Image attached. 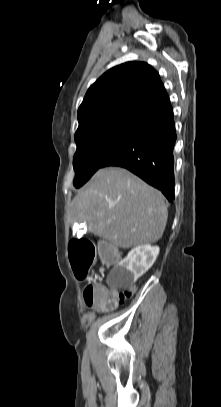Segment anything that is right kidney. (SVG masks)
Wrapping results in <instances>:
<instances>
[{"label": "right kidney", "instance_id": "1", "mask_svg": "<svg viewBox=\"0 0 221 407\" xmlns=\"http://www.w3.org/2000/svg\"><path fill=\"white\" fill-rule=\"evenodd\" d=\"M158 254V246L144 244L133 248L128 255L119 262L116 268L121 283L124 286L133 285L138 278L151 268Z\"/></svg>", "mask_w": 221, "mask_h": 407}]
</instances>
